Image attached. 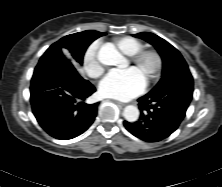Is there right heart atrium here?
<instances>
[{
  "mask_svg": "<svg viewBox=\"0 0 222 187\" xmlns=\"http://www.w3.org/2000/svg\"><path fill=\"white\" fill-rule=\"evenodd\" d=\"M99 45L98 41L91 43L82 57V68L92 78L99 77L104 71V67L98 57Z\"/></svg>",
  "mask_w": 222,
  "mask_h": 187,
  "instance_id": "obj_1",
  "label": "right heart atrium"
}]
</instances>
